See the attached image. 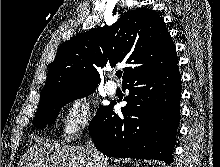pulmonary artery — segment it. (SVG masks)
Returning <instances> with one entry per match:
<instances>
[{
    "label": "pulmonary artery",
    "instance_id": "obj_1",
    "mask_svg": "<svg viewBox=\"0 0 220 167\" xmlns=\"http://www.w3.org/2000/svg\"><path fill=\"white\" fill-rule=\"evenodd\" d=\"M117 86L114 82H106L105 90L109 95H113L116 92Z\"/></svg>",
    "mask_w": 220,
    "mask_h": 167
}]
</instances>
